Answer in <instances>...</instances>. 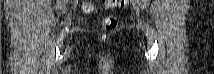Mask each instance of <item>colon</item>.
<instances>
[{"label":"colon","mask_w":214,"mask_h":74,"mask_svg":"<svg viewBox=\"0 0 214 74\" xmlns=\"http://www.w3.org/2000/svg\"><path fill=\"white\" fill-rule=\"evenodd\" d=\"M105 7L106 8H115V7H120V8H125L128 4V0H108L104 1ZM83 10L85 12H91L93 10V6L90 2H85L83 4ZM102 26L105 30L111 31L114 30L117 27V19L114 16H104L101 19Z\"/></svg>","instance_id":"colon-1"}]
</instances>
